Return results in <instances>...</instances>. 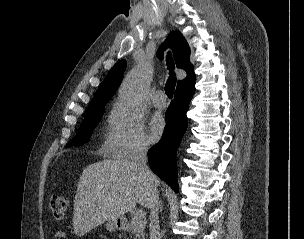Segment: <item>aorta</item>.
Listing matches in <instances>:
<instances>
[{
	"instance_id": "obj_1",
	"label": "aorta",
	"mask_w": 304,
	"mask_h": 239,
	"mask_svg": "<svg viewBox=\"0 0 304 239\" xmlns=\"http://www.w3.org/2000/svg\"><path fill=\"white\" fill-rule=\"evenodd\" d=\"M150 81V71L145 67H140L131 72L123 82L119 100L121 105L133 115H141L145 111Z\"/></svg>"
}]
</instances>
